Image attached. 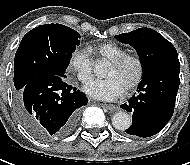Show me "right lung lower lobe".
Here are the masks:
<instances>
[{
    "label": "right lung lower lobe",
    "instance_id": "obj_1",
    "mask_svg": "<svg viewBox=\"0 0 190 165\" xmlns=\"http://www.w3.org/2000/svg\"><path fill=\"white\" fill-rule=\"evenodd\" d=\"M66 76L45 75L21 89L16 110L25 128L41 141L68 136L76 127L85 94L68 85Z\"/></svg>",
    "mask_w": 190,
    "mask_h": 165
}]
</instances>
